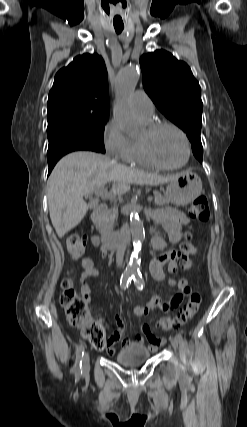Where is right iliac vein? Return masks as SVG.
Returning a JSON list of instances; mask_svg holds the SVG:
<instances>
[{
	"mask_svg": "<svg viewBox=\"0 0 247 427\" xmlns=\"http://www.w3.org/2000/svg\"><path fill=\"white\" fill-rule=\"evenodd\" d=\"M90 369V357L89 353L86 352L83 357V372L86 373Z\"/></svg>",
	"mask_w": 247,
	"mask_h": 427,
	"instance_id": "obj_1",
	"label": "right iliac vein"
}]
</instances>
